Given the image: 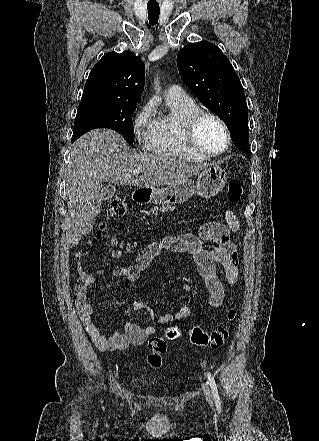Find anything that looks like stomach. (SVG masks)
<instances>
[{
	"label": "stomach",
	"instance_id": "1",
	"mask_svg": "<svg viewBox=\"0 0 319 441\" xmlns=\"http://www.w3.org/2000/svg\"><path fill=\"white\" fill-rule=\"evenodd\" d=\"M227 181L225 169L217 166L206 167L198 175L196 185L186 179L176 185L150 191L151 200L155 204L169 205L186 202L193 195L211 198L222 191Z\"/></svg>",
	"mask_w": 319,
	"mask_h": 441
}]
</instances>
